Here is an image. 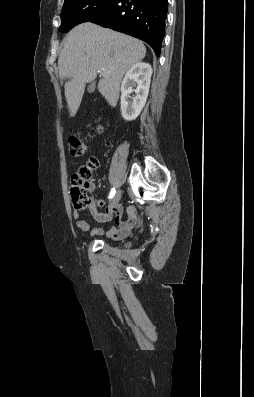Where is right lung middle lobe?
<instances>
[{"label":"right lung middle lobe","mask_w":254,"mask_h":397,"mask_svg":"<svg viewBox=\"0 0 254 397\" xmlns=\"http://www.w3.org/2000/svg\"><path fill=\"white\" fill-rule=\"evenodd\" d=\"M112 0H64L60 32L67 33L74 26L88 22L101 14Z\"/></svg>","instance_id":"right-lung-middle-lobe-1"}]
</instances>
